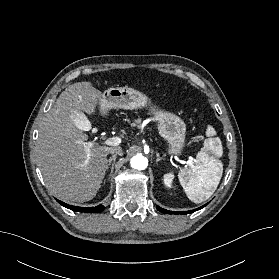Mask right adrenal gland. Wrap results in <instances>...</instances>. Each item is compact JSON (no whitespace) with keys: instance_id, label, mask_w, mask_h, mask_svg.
<instances>
[{"instance_id":"1","label":"right adrenal gland","mask_w":279,"mask_h":279,"mask_svg":"<svg viewBox=\"0 0 279 279\" xmlns=\"http://www.w3.org/2000/svg\"><path fill=\"white\" fill-rule=\"evenodd\" d=\"M116 157L117 155H113L112 157L109 158L108 160V164H107V171L111 165V172L109 174V176L111 177L112 173H113V169H114V163H115V160H116Z\"/></svg>"}]
</instances>
